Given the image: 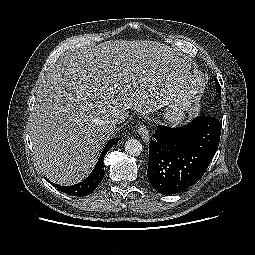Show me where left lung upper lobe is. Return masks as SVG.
Wrapping results in <instances>:
<instances>
[{
    "label": "left lung upper lobe",
    "mask_w": 255,
    "mask_h": 255,
    "mask_svg": "<svg viewBox=\"0 0 255 255\" xmlns=\"http://www.w3.org/2000/svg\"><path fill=\"white\" fill-rule=\"evenodd\" d=\"M216 86H217V92H218L219 96L221 97V88H220V85L218 84V82L216 83Z\"/></svg>",
    "instance_id": "5c2ea615"
}]
</instances>
